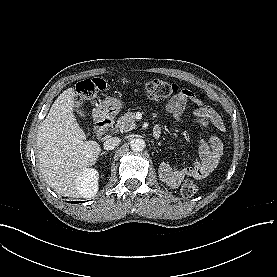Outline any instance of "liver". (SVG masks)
Returning a JSON list of instances; mask_svg holds the SVG:
<instances>
[{
  "instance_id": "1",
  "label": "liver",
  "mask_w": 277,
  "mask_h": 277,
  "mask_svg": "<svg viewBox=\"0 0 277 277\" xmlns=\"http://www.w3.org/2000/svg\"><path fill=\"white\" fill-rule=\"evenodd\" d=\"M74 88H68L52 104L38 128L36 157L47 184L62 196L79 197L76 179L95 164L101 148L86 135L73 113L79 105ZM81 114V112H79Z\"/></svg>"
}]
</instances>
